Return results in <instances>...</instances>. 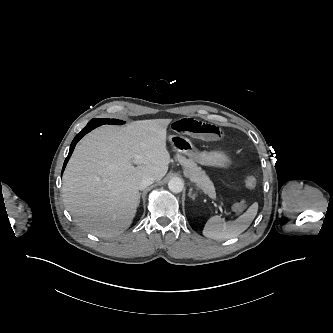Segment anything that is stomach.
I'll list each match as a JSON object with an SVG mask.
<instances>
[{"label": "stomach", "instance_id": "1", "mask_svg": "<svg viewBox=\"0 0 333 333\" xmlns=\"http://www.w3.org/2000/svg\"><path fill=\"white\" fill-rule=\"evenodd\" d=\"M169 141L176 151L188 156L191 160L196 162L219 168H227L231 163L230 157L225 152H199L186 137L171 135Z\"/></svg>", "mask_w": 333, "mask_h": 333}]
</instances>
